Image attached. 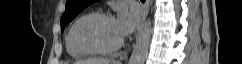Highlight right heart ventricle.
I'll return each instance as SVG.
<instances>
[{
    "mask_svg": "<svg viewBox=\"0 0 242 64\" xmlns=\"http://www.w3.org/2000/svg\"><path fill=\"white\" fill-rule=\"evenodd\" d=\"M81 18V17H80ZM79 18V19H80ZM77 19L73 25L70 27L69 31H68V34L66 36V48H67V51L68 53L72 56V57H76V58H81V57H84L86 56L87 54L79 51L73 44L72 42V31H73V28H74V25L75 23L79 20Z\"/></svg>",
    "mask_w": 242,
    "mask_h": 64,
    "instance_id": "right-heart-ventricle-1",
    "label": "right heart ventricle"
}]
</instances>
